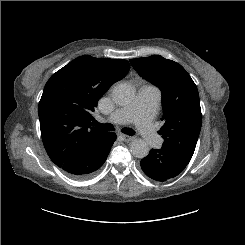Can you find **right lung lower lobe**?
I'll list each match as a JSON object with an SVG mask.
<instances>
[{"mask_svg": "<svg viewBox=\"0 0 245 245\" xmlns=\"http://www.w3.org/2000/svg\"><path fill=\"white\" fill-rule=\"evenodd\" d=\"M115 139V134L104 131L85 145L74 158L60 167L75 178L93 175L105 162Z\"/></svg>", "mask_w": 245, "mask_h": 245, "instance_id": "98d812e1", "label": "right lung lower lobe"}]
</instances>
